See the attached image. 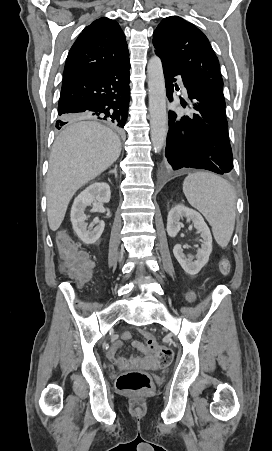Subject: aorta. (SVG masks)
Instances as JSON below:
<instances>
[{"label": "aorta", "instance_id": "1", "mask_svg": "<svg viewBox=\"0 0 272 451\" xmlns=\"http://www.w3.org/2000/svg\"><path fill=\"white\" fill-rule=\"evenodd\" d=\"M151 142L161 152L167 136L166 88L162 62L152 56L147 64Z\"/></svg>", "mask_w": 272, "mask_h": 451}]
</instances>
